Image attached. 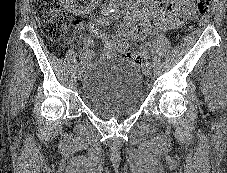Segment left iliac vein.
<instances>
[{"mask_svg": "<svg viewBox=\"0 0 227 173\" xmlns=\"http://www.w3.org/2000/svg\"><path fill=\"white\" fill-rule=\"evenodd\" d=\"M142 71L146 77H149L151 75V67H149L147 65L143 66Z\"/></svg>", "mask_w": 227, "mask_h": 173, "instance_id": "1", "label": "left iliac vein"}]
</instances>
